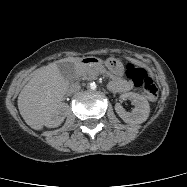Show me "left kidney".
Here are the masks:
<instances>
[{"label":"left kidney","mask_w":187,"mask_h":187,"mask_svg":"<svg viewBox=\"0 0 187 187\" xmlns=\"http://www.w3.org/2000/svg\"><path fill=\"white\" fill-rule=\"evenodd\" d=\"M122 99H129L135 104V108L131 113L126 112L121 105L117 104L115 109L121 119L126 123L140 124L148 119L150 106L148 101L141 95L133 92L121 95Z\"/></svg>","instance_id":"left-kidney-1"}]
</instances>
